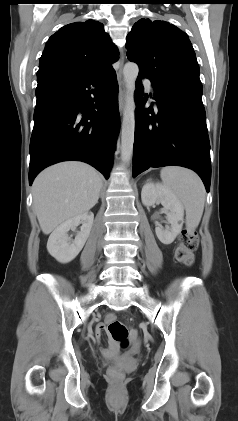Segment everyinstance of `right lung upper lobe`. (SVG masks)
Returning a JSON list of instances; mask_svg holds the SVG:
<instances>
[{
    "label": "right lung upper lobe",
    "mask_w": 238,
    "mask_h": 421,
    "mask_svg": "<svg viewBox=\"0 0 238 421\" xmlns=\"http://www.w3.org/2000/svg\"><path fill=\"white\" fill-rule=\"evenodd\" d=\"M118 49L95 20L65 25L47 41L37 77L89 76L113 70Z\"/></svg>",
    "instance_id": "1"
}]
</instances>
